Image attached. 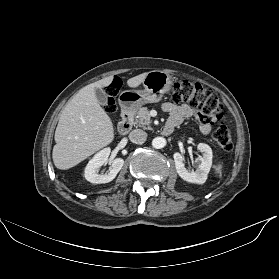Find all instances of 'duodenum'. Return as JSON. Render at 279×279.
<instances>
[{"label": "duodenum", "instance_id": "obj_1", "mask_svg": "<svg viewBox=\"0 0 279 279\" xmlns=\"http://www.w3.org/2000/svg\"><path fill=\"white\" fill-rule=\"evenodd\" d=\"M132 124H133V112L131 109H125L123 114H122V119L118 124V131L121 135H126L132 128ZM173 129L168 127V126H164L163 128V134L164 135H168L170 133H172Z\"/></svg>", "mask_w": 279, "mask_h": 279}]
</instances>
